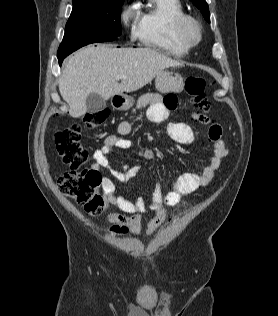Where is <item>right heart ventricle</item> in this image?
<instances>
[{"instance_id":"1","label":"right heart ventricle","mask_w":278,"mask_h":316,"mask_svg":"<svg viewBox=\"0 0 278 316\" xmlns=\"http://www.w3.org/2000/svg\"><path fill=\"white\" fill-rule=\"evenodd\" d=\"M186 16L181 0H148L139 11L136 38L148 48L183 57L190 49L178 28L180 19Z\"/></svg>"}]
</instances>
